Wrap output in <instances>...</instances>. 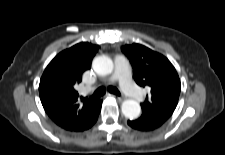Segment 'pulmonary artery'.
I'll return each instance as SVG.
<instances>
[{"label":"pulmonary artery","mask_w":225,"mask_h":155,"mask_svg":"<svg viewBox=\"0 0 225 155\" xmlns=\"http://www.w3.org/2000/svg\"><path fill=\"white\" fill-rule=\"evenodd\" d=\"M118 80L122 90L136 101L142 99V93L131 79L126 58L119 55L115 59V71L109 82Z\"/></svg>","instance_id":"1"}]
</instances>
